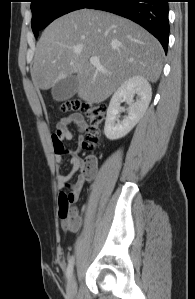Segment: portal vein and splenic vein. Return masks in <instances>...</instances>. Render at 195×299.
Here are the masks:
<instances>
[{
  "mask_svg": "<svg viewBox=\"0 0 195 299\" xmlns=\"http://www.w3.org/2000/svg\"><path fill=\"white\" fill-rule=\"evenodd\" d=\"M90 63L96 67V68H99L101 69L103 72H105V70L103 69V67L101 66L100 64V61H99V58L98 57H91L90 58Z\"/></svg>",
  "mask_w": 195,
  "mask_h": 299,
  "instance_id": "portal-vein-and-splenic-vein-1",
  "label": "portal vein and splenic vein"
}]
</instances>
